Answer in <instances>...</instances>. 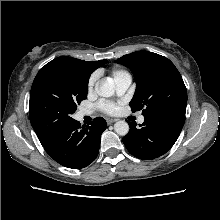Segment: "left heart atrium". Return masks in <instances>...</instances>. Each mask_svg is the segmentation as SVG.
I'll return each instance as SVG.
<instances>
[{
	"mask_svg": "<svg viewBox=\"0 0 220 220\" xmlns=\"http://www.w3.org/2000/svg\"><path fill=\"white\" fill-rule=\"evenodd\" d=\"M103 111L107 114H113L116 111V105L113 103L105 102L101 104Z\"/></svg>",
	"mask_w": 220,
	"mask_h": 220,
	"instance_id": "1",
	"label": "left heart atrium"
}]
</instances>
